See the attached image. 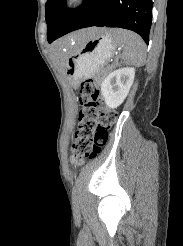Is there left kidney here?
I'll return each instance as SVG.
<instances>
[{"label": "left kidney", "mask_w": 183, "mask_h": 246, "mask_svg": "<svg viewBox=\"0 0 183 246\" xmlns=\"http://www.w3.org/2000/svg\"><path fill=\"white\" fill-rule=\"evenodd\" d=\"M135 78L133 67H123L109 73L101 83V95L109 108L115 109L127 97Z\"/></svg>", "instance_id": "left-kidney-1"}]
</instances>
